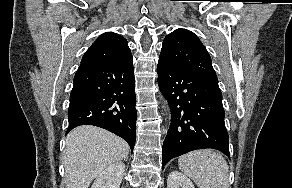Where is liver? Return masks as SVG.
I'll use <instances>...</instances> for the list:
<instances>
[{"label": "liver", "mask_w": 292, "mask_h": 188, "mask_svg": "<svg viewBox=\"0 0 292 188\" xmlns=\"http://www.w3.org/2000/svg\"><path fill=\"white\" fill-rule=\"evenodd\" d=\"M120 137L95 126L83 125L66 137L63 155L66 188H88L108 166L128 156Z\"/></svg>", "instance_id": "liver-1"}]
</instances>
